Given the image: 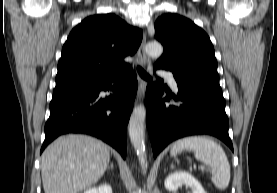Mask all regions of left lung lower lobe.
Here are the masks:
<instances>
[{
  "label": "left lung lower lobe",
  "mask_w": 277,
  "mask_h": 193,
  "mask_svg": "<svg viewBox=\"0 0 277 193\" xmlns=\"http://www.w3.org/2000/svg\"><path fill=\"white\" fill-rule=\"evenodd\" d=\"M154 69H157L154 66ZM160 84H151L146 92V123L156 157L172 141L190 135L209 134L225 142L233 151L228 135L229 121L219 81L193 80L178 82V97L161 100ZM182 102L165 105L170 98Z\"/></svg>",
  "instance_id": "left-lung-lower-lobe-1"
}]
</instances>
